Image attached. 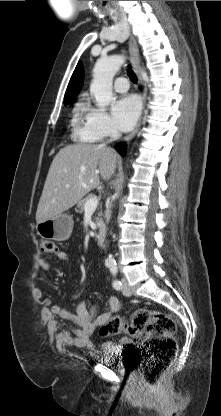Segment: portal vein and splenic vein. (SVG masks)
Segmentation results:
<instances>
[{
  "instance_id": "18ae733b",
  "label": "portal vein and splenic vein",
  "mask_w": 221,
  "mask_h": 416,
  "mask_svg": "<svg viewBox=\"0 0 221 416\" xmlns=\"http://www.w3.org/2000/svg\"><path fill=\"white\" fill-rule=\"evenodd\" d=\"M98 203H99V200L97 199V197H93V198L89 199L84 205L85 213L95 211L97 206H98Z\"/></svg>"
}]
</instances>
